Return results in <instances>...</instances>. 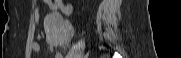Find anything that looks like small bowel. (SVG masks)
Returning a JSON list of instances; mask_svg holds the SVG:
<instances>
[{"instance_id": "1", "label": "small bowel", "mask_w": 181, "mask_h": 58, "mask_svg": "<svg viewBox=\"0 0 181 58\" xmlns=\"http://www.w3.org/2000/svg\"><path fill=\"white\" fill-rule=\"evenodd\" d=\"M46 2L49 4L50 8L56 10L59 9L64 14H69L71 12V6L62 0H46ZM32 51L34 53H38L41 51V47L38 43H33L32 45ZM56 58H61V55L57 53Z\"/></svg>"}]
</instances>
